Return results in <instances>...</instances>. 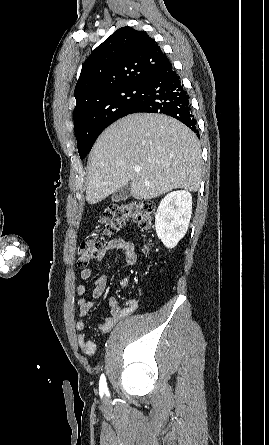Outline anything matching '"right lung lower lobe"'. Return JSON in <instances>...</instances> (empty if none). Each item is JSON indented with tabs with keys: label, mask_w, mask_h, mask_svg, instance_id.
<instances>
[{
	"label": "right lung lower lobe",
	"mask_w": 269,
	"mask_h": 445,
	"mask_svg": "<svg viewBox=\"0 0 269 445\" xmlns=\"http://www.w3.org/2000/svg\"><path fill=\"white\" fill-rule=\"evenodd\" d=\"M147 89L132 113H161L178 119L197 133L189 95L169 62L156 71L146 83Z\"/></svg>",
	"instance_id": "obj_1"
}]
</instances>
